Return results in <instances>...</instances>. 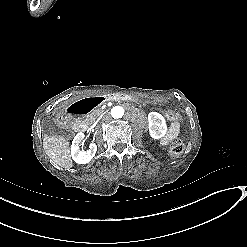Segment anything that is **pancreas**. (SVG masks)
<instances>
[{"label":"pancreas","mask_w":247,"mask_h":247,"mask_svg":"<svg viewBox=\"0 0 247 247\" xmlns=\"http://www.w3.org/2000/svg\"><path fill=\"white\" fill-rule=\"evenodd\" d=\"M101 114H103V111L101 109H95L89 114V116H87L86 121L89 124H92Z\"/></svg>","instance_id":"1"}]
</instances>
